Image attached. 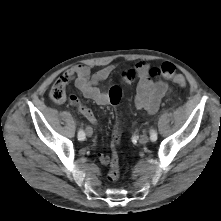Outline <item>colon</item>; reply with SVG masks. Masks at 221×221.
Segmentation results:
<instances>
[{"label": "colon", "instance_id": "colon-1", "mask_svg": "<svg viewBox=\"0 0 221 221\" xmlns=\"http://www.w3.org/2000/svg\"><path fill=\"white\" fill-rule=\"evenodd\" d=\"M150 77H162L172 81L179 87H185L186 80L183 75L176 73L175 67L170 63H163L159 67H154L149 70ZM110 98L113 104H117L122 97V89L119 86H112L109 90ZM50 99L55 103H63L66 100H70L74 104L79 103L76 96H68L66 91V86L60 80L54 82L49 91ZM115 138L111 144V156L109 163V171L107 174V179L110 182H116L120 177L119 159L118 154L115 150L116 146L119 144V128L116 127L114 130Z\"/></svg>", "mask_w": 221, "mask_h": 221}]
</instances>
